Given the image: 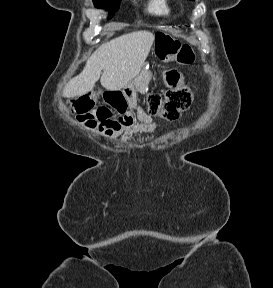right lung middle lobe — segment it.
Masks as SVG:
<instances>
[{
	"label": "right lung middle lobe",
	"mask_w": 273,
	"mask_h": 288,
	"mask_svg": "<svg viewBox=\"0 0 273 288\" xmlns=\"http://www.w3.org/2000/svg\"><path fill=\"white\" fill-rule=\"evenodd\" d=\"M121 0H93L95 7L109 9V16L112 17L118 10Z\"/></svg>",
	"instance_id": "obj_1"
}]
</instances>
